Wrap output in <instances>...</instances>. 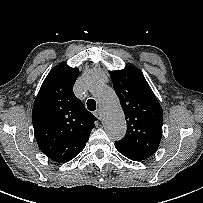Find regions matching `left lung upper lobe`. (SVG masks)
Wrapping results in <instances>:
<instances>
[{
  "label": "left lung upper lobe",
  "instance_id": "obj_1",
  "mask_svg": "<svg viewBox=\"0 0 203 203\" xmlns=\"http://www.w3.org/2000/svg\"><path fill=\"white\" fill-rule=\"evenodd\" d=\"M110 75L127 120L126 134L117 142L150 157L162 137V107L138 68L127 65Z\"/></svg>",
  "mask_w": 203,
  "mask_h": 203
}]
</instances>
